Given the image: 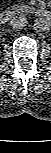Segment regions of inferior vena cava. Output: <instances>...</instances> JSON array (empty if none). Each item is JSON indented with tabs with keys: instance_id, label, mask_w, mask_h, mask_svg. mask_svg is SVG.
I'll return each mask as SVG.
<instances>
[{
	"instance_id": "inferior-vena-cava-1",
	"label": "inferior vena cava",
	"mask_w": 51,
	"mask_h": 153,
	"mask_svg": "<svg viewBox=\"0 0 51 153\" xmlns=\"http://www.w3.org/2000/svg\"><path fill=\"white\" fill-rule=\"evenodd\" d=\"M27 23H28L27 18L22 15H19L13 17L10 24L15 29H22L25 26H27Z\"/></svg>"
}]
</instances>
